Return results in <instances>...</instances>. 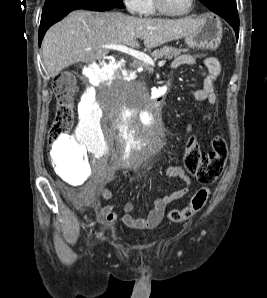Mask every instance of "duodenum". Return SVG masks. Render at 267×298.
I'll return each mask as SVG.
<instances>
[{"label": "duodenum", "instance_id": "obj_1", "mask_svg": "<svg viewBox=\"0 0 267 298\" xmlns=\"http://www.w3.org/2000/svg\"><path fill=\"white\" fill-rule=\"evenodd\" d=\"M163 103V98H150L147 100V105H152L151 112H159V109H166V104Z\"/></svg>", "mask_w": 267, "mask_h": 298}]
</instances>
